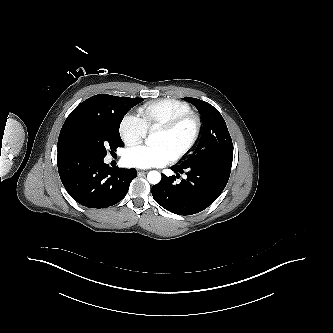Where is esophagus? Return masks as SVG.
<instances>
[{"label": "esophagus", "mask_w": 333, "mask_h": 333, "mask_svg": "<svg viewBox=\"0 0 333 333\" xmlns=\"http://www.w3.org/2000/svg\"><path fill=\"white\" fill-rule=\"evenodd\" d=\"M137 173H138L139 176H142V175L146 174L147 171H144V170H138Z\"/></svg>", "instance_id": "1"}]
</instances>
